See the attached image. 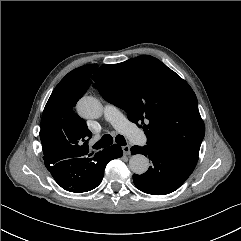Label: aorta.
Returning a JSON list of instances; mask_svg holds the SVG:
<instances>
[{"mask_svg":"<svg viewBox=\"0 0 241 241\" xmlns=\"http://www.w3.org/2000/svg\"><path fill=\"white\" fill-rule=\"evenodd\" d=\"M78 113L86 119H97L103 114V106L92 96H84L77 103ZM131 171L137 175L144 174L149 168V160L142 154L133 155L129 160Z\"/></svg>","mask_w":241,"mask_h":241,"instance_id":"1","label":"aorta"}]
</instances>
